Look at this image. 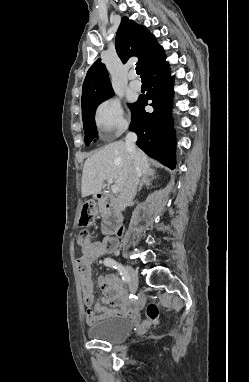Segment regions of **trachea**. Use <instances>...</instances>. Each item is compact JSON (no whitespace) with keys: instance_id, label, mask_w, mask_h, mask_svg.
Masks as SVG:
<instances>
[{"instance_id":"trachea-1","label":"trachea","mask_w":249,"mask_h":382,"mask_svg":"<svg viewBox=\"0 0 249 382\" xmlns=\"http://www.w3.org/2000/svg\"><path fill=\"white\" fill-rule=\"evenodd\" d=\"M136 73H137L138 75H140L141 78H145L144 74L141 73V70H140L139 66H136Z\"/></svg>"}]
</instances>
